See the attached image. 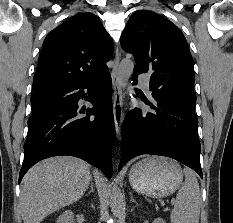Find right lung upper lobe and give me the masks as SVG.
Here are the masks:
<instances>
[{
    "instance_id": "cb5924a9",
    "label": "right lung upper lobe",
    "mask_w": 233,
    "mask_h": 223,
    "mask_svg": "<svg viewBox=\"0 0 233 223\" xmlns=\"http://www.w3.org/2000/svg\"><path fill=\"white\" fill-rule=\"evenodd\" d=\"M112 55L113 42L100 19L76 14L45 38L32 90L95 79L108 71Z\"/></svg>"
}]
</instances>
